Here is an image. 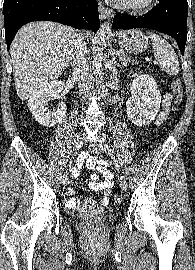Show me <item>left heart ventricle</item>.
Returning a JSON list of instances; mask_svg holds the SVG:
<instances>
[{
    "mask_svg": "<svg viewBox=\"0 0 195 270\" xmlns=\"http://www.w3.org/2000/svg\"><path fill=\"white\" fill-rule=\"evenodd\" d=\"M127 1L133 2V3H139V2H142V1H144V0H127Z\"/></svg>",
    "mask_w": 195,
    "mask_h": 270,
    "instance_id": "left-heart-ventricle-1",
    "label": "left heart ventricle"
}]
</instances>
